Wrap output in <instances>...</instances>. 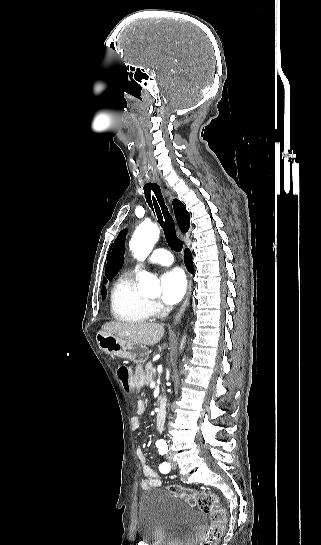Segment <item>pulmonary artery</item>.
Here are the masks:
<instances>
[{"instance_id":"obj_1","label":"pulmonary artery","mask_w":321,"mask_h":545,"mask_svg":"<svg viewBox=\"0 0 321 545\" xmlns=\"http://www.w3.org/2000/svg\"><path fill=\"white\" fill-rule=\"evenodd\" d=\"M171 252L166 249L158 248L152 251L151 255L148 258L149 263H155L163 266H169L173 263V258H171ZM140 268V265L137 264L132 268V271H137Z\"/></svg>"}]
</instances>
